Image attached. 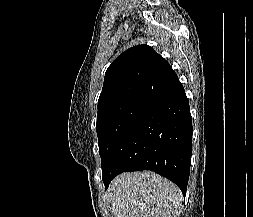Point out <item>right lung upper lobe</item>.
<instances>
[{"label":"right lung upper lobe","instance_id":"right-lung-upper-lobe-1","mask_svg":"<svg viewBox=\"0 0 253 217\" xmlns=\"http://www.w3.org/2000/svg\"><path fill=\"white\" fill-rule=\"evenodd\" d=\"M178 80L169 63L150 46H134L108 67L98 111L126 99L151 101Z\"/></svg>","mask_w":253,"mask_h":217}]
</instances>
